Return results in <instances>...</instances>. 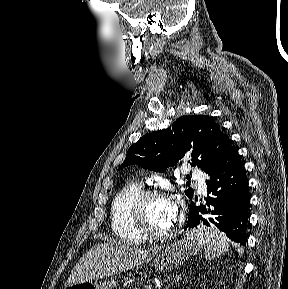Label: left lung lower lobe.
Listing matches in <instances>:
<instances>
[{
    "instance_id": "left-lung-lower-lobe-1",
    "label": "left lung lower lobe",
    "mask_w": 288,
    "mask_h": 289,
    "mask_svg": "<svg viewBox=\"0 0 288 289\" xmlns=\"http://www.w3.org/2000/svg\"><path fill=\"white\" fill-rule=\"evenodd\" d=\"M207 174L210 177L206 180L209 195L199 206L191 202L185 230L198 225L218 227L233 241L246 245L250 205L248 179L230 140Z\"/></svg>"
}]
</instances>
